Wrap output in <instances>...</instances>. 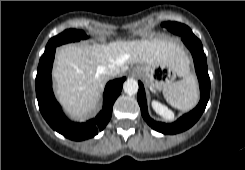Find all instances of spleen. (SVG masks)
I'll use <instances>...</instances> for the list:
<instances>
[{
    "instance_id": "obj_1",
    "label": "spleen",
    "mask_w": 245,
    "mask_h": 170,
    "mask_svg": "<svg viewBox=\"0 0 245 170\" xmlns=\"http://www.w3.org/2000/svg\"><path fill=\"white\" fill-rule=\"evenodd\" d=\"M166 101L173 107L187 111L195 107L199 99L196 77L187 75L163 89Z\"/></svg>"
}]
</instances>
